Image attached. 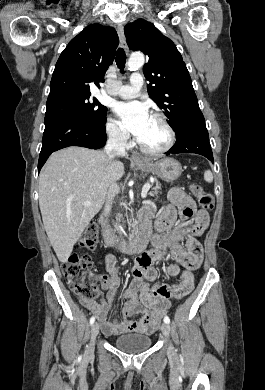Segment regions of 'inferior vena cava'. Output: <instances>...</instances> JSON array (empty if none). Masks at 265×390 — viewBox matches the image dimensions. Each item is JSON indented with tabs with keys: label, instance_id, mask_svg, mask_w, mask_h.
<instances>
[{
	"label": "inferior vena cava",
	"instance_id": "obj_1",
	"mask_svg": "<svg viewBox=\"0 0 265 390\" xmlns=\"http://www.w3.org/2000/svg\"><path fill=\"white\" fill-rule=\"evenodd\" d=\"M105 153L107 154L110 161H112L116 156L126 155L125 141L121 138L119 134H112L109 136V139L105 146ZM118 190L119 187L117 186V184H112L110 186L106 198V203L104 206L103 216L107 217L110 214L112 201Z\"/></svg>",
	"mask_w": 265,
	"mask_h": 390
}]
</instances>
